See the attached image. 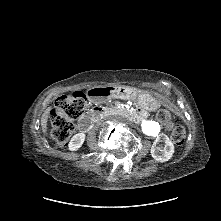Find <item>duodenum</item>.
Returning <instances> with one entry per match:
<instances>
[{"label":"duodenum","instance_id":"duodenum-1","mask_svg":"<svg viewBox=\"0 0 221 221\" xmlns=\"http://www.w3.org/2000/svg\"><path fill=\"white\" fill-rule=\"evenodd\" d=\"M125 94L124 88H112L107 86L92 87L88 91V98L92 102L107 101L111 95L121 96ZM113 113L115 116H126L130 121L137 120V114L134 111L128 110L126 107H115V106H94L90 108L79 120L78 126L81 132H88L95 119L102 114Z\"/></svg>","mask_w":221,"mask_h":221}]
</instances>
